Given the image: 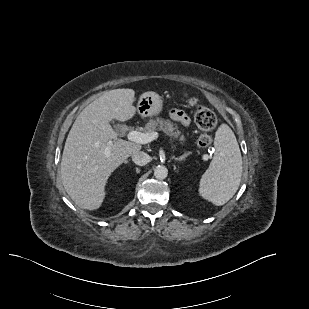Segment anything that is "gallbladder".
<instances>
[{"label":"gallbladder","instance_id":"1","mask_svg":"<svg viewBox=\"0 0 309 309\" xmlns=\"http://www.w3.org/2000/svg\"><path fill=\"white\" fill-rule=\"evenodd\" d=\"M122 127H123V125H121V124L116 125V129H121Z\"/></svg>","mask_w":309,"mask_h":309}]
</instances>
